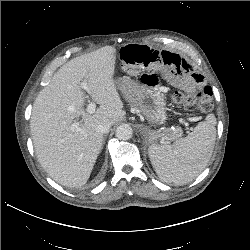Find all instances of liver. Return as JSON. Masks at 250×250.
Listing matches in <instances>:
<instances>
[{
  "label": "liver",
  "mask_w": 250,
  "mask_h": 250,
  "mask_svg": "<svg viewBox=\"0 0 250 250\" xmlns=\"http://www.w3.org/2000/svg\"><path fill=\"white\" fill-rule=\"evenodd\" d=\"M115 60L112 46L76 57L54 74L35 99L30 120L35 153L42 168L63 186L87 183L104 143L98 125L104 121L113 125L126 114L113 78ZM83 80L100 105L92 114L83 108ZM79 117L80 129L73 131L71 125Z\"/></svg>",
  "instance_id": "obj_1"
}]
</instances>
